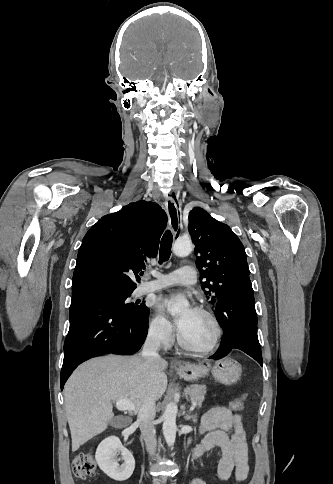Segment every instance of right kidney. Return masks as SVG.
Wrapping results in <instances>:
<instances>
[{
	"label": "right kidney",
	"instance_id": "ca27d5eb",
	"mask_svg": "<svg viewBox=\"0 0 333 484\" xmlns=\"http://www.w3.org/2000/svg\"><path fill=\"white\" fill-rule=\"evenodd\" d=\"M121 452L122 465L118 464L117 452ZM95 459L100 469L116 481H125L135 469V460L130 451L123 447L118 437H107L98 445Z\"/></svg>",
	"mask_w": 333,
	"mask_h": 484
}]
</instances>
